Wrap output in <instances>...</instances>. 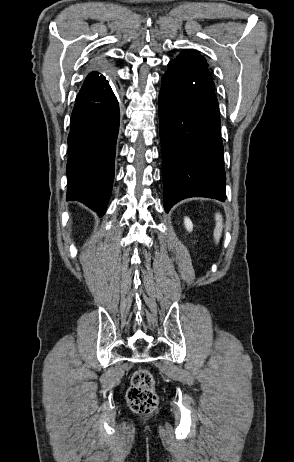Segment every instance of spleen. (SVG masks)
Wrapping results in <instances>:
<instances>
[{
	"mask_svg": "<svg viewBox=\"0 0 294 462\" xmlns=\"http://www.w3.org/2000/svg\"><path fill=\"white\" fill-rule=\"evenodd\" d=\"M215 219H216V227L214 230V239L216 242H219V239L222 233V228H223V219H222L221 214L219 213L216 214Z\"/></svg>",
	"mask_w": 294,
	"mask_h": 462,
	"instance_id": "spleen-1",
	"label": "spleen"
}]
</instances>
